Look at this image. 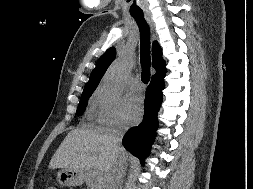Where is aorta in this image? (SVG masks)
Here are the masks:
<instances>
[{
    "label": "aorta",
    "mask_w": 253,
    "mask_h": 189,
    "mask_svg": "<svg viewBox=\"0 0 253 189\" xmlns=\"http://www.w3.org/2000/svg\"><path fill=\"white\" fill-rule=\"evenodd\" d=\"M128 70L129 62L126 59L112 65L103 83L105 90L111 94H119L123 89V81Z\"/></svg>",
    "instance_id": "obj_1"
}]
</instances>
